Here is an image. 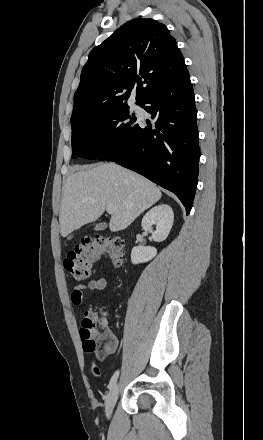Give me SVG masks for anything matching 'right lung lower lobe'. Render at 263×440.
<instances>
[{
  "mask_svg": "<svg viewBox=\"0 0 263 440\" xmlns=\"http://www.w3.org/2000/svg\"><path fill=\"white\" fill-rule=\"evenodd\" d=\"M140 104L156 119L155 126L137 124L98 159L117 162L173 192L188 215L199 160L197 111L188 70L151 91Z\"/></svg>",
  "mask_w": 263,
  "mask_h": 440,
  "instance_id": "right-lung-lower-lobe-1",
  "label": "right lung lower lobe"
}]
</instances>
